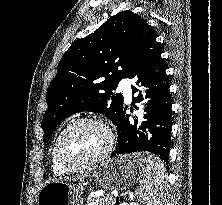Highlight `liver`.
Instances as JSON below:
<instances>
[{
	"mask_svg": "<svg viewBox=\"0 0 222 205\" xmlns=\"http://www.w3.org/2000/svg\"><path fill=\"white\" fill-rule=\"evenodd\" d=\"M85 177H87V175L79 176V177H77V178H72L71 180H72V181L84 180Z\"/></svg>",
	"mask_w": 222,
	"mask_h": 205,
	"instance_id": "1",
	"label": "liver"
}]
</instances>
